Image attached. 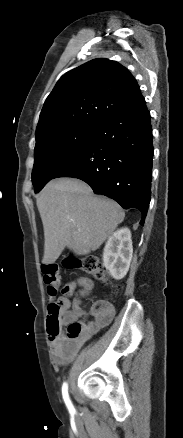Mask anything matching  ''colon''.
Listing matches in <instances>:
<instances>
[{
	"mask_svg": "<svg viewBox=\"0 0 183 438\" xmlns=\"http://www.w3.org/2000/svg\"><path fill=\"white\" fill-rule=\"evenodd\" d=\"M62 265L66 269H78L89 275L94 276L96 279L103 283H110L109 276L107 275L104 265L99 259L92 255H74L70 254L66 256ZM43 280L47 287L48 295L51 299L47 304V330L48 334L57 335L62 326L63 313L69 303L66 294L69 292L66 288L63 290V296L55 300L53 297L58 292L60 284L59 266L56 263H49L42 266ZM83 331V325L77 321H71L67 324L66 337L68 339L78 338Z\"/></svg>",
	"mask_w": 183,
	"mask_h": 438,
	"instance_id": "1",
	"label": "colon"
}]
</instances>
